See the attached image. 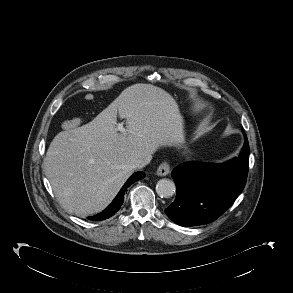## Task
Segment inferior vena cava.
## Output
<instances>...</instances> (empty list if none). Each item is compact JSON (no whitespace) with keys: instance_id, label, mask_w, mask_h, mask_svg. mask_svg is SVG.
<instances>
[{"instance_id":"602c4592","label":"inferior vena cava","mask_w":293,"mask_h":293,"mask_svg":"<svg viewBox=\"0 0 293 293\" xmlns=\"http://www.w3.org/2000/svg\"><path fill=\"white\" fill-rule=\"evenodd\" d=\"M151 159H152V155L151 154H148V155H146L144 157H141V158L135 160V162L133 163V167L135 169H137V168H143L147 164L150 163Z\"/></svg>"}]
</instances>
